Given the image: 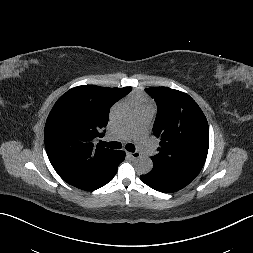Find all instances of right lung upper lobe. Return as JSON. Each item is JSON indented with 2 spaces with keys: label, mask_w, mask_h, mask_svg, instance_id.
Returning <instances> with one entry per match:
<instances>
[{
  "label": "right lung upper lobe",
  "mask_w": 253,
  "mask_h": 253,
  "mask_svg": "<svg viewBox=\"0 0 253 253\" xmlns=\"http://www.w3.org/2000/svg\"><path fill=\"white\" fill-rule=\"evenodd\" d=\"M131 87L78 86L63 94L53 106L44 130L45 147L55 171L62 178H92L114 150L94 145L107 125L110 107Z\"/></svg>",
  "instance_id": "right-lung-upper-lobe-1"
}]
</instances>
